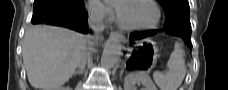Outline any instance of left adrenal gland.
<instances>
[{"label":"left adrenal gland","mask_w":228,"mask_h":90,"mask_svg":"<svg viewBox=\"0 0 228 90\" xmlns=\"http://www.w3.org/2000/svg\"><path fill=\"white\" fill-rule=\"evenodd\" d=\"M123 72H124V69L121 70V72H120V77L122 76Z\"/></svg>","instance_id":"a2214340"}]
</instances>
